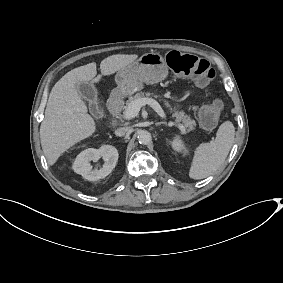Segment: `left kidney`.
Returning <instances> with one entry per match:
<instances>
[{"mask_svg":"<svg viewBox=\"0 0 283 283\" xmlns=\"http://www.w3.org/2000/svg\"><path fill=\"white\" fill-rule=\"evenodd\" d=\"M172 145L173 148L176 150H182L183 149V144L181 143V141L179 139H175L174 141H172ZM184 153L186 154L187 151H184Z\"/></svg>","mask_w":283,"mask_h":283,"instance_id":"5707ae66","label":"left kidney"}]
</instances>
